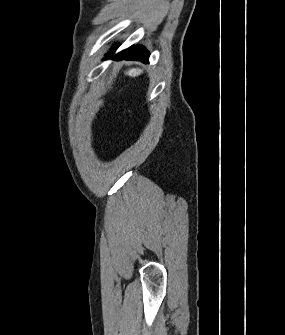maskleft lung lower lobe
I'll return each mask as SVG.
<instances>
[{
	"instance_id": "obj_1",
	"label": "left lung lower lobe",
	"mask_w": 285,
	"mask_h": 335,
	"mask_svg": "<svg viewBox=\"0 0 285 335\" xmlns=\"http://www.w3.org/2000/svg\"><path fill=\"white\" fill-rule=\"evenodd\" d=\"M113 50H115V49H113ZM113 50H112V52H109L106 55V58H109L113 54ZM148 57H149V54L144 47L133 46V47H130L126 50H123L122 52L117 54L114 57V59L115 60H122V59L139 60V61H142V62H148Z\"/></svg>"
}]
</instances>
